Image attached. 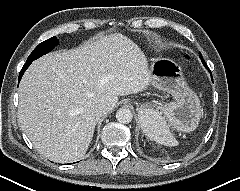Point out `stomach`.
<instances>
[{"label":"stomach","mask_w":240,"mask_h":191,"mask_svg":"<svg viewBox=\"0 0 240 191\" xmlns=\"http://www.w3.org/2000/svg\"><path fill=\"white\" fill-rule=\"evenodd\" d=\"M149 73L151 84L174 98L164 106L165 116L172 126L183 132L195 130L202 116L200 99L184 79L180 66L170 59L159 58L151 63ZM151 109L150 105L141 104L139 116Z\"/></svg>","instance_id":"1"}]
</instances>
